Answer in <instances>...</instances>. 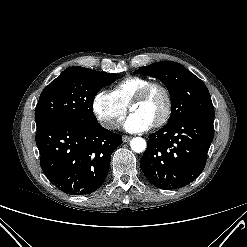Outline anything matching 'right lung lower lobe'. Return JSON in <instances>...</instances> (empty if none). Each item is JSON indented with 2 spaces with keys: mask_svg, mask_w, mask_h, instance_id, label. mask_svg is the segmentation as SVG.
<instances>
[{
  "mask_svg": "<svg viewBox=\"0 0 247 247\" xmlns=\"http://www.w3.org/2000/svg\"><path fill=\"white\" fill-rule=\"evenodd\" d=\"M37 129L42 170L57 188L72 195L91 194L104 183L111 154L122 143L121 135L97 120H57Z\"/></svg>",
  "mask_w": 247,
  "mask_h": 247,
  "instance_id": "1",
  "label": "right lung lower lobe"
}]
</instances>
